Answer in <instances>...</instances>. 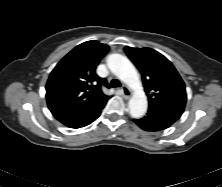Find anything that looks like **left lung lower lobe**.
Masks as SVG:
<instances>
[{"instance_id":"1","label":"left lung lower lobe","mask_w":222,"mask_h":187,"mask_svg":"<svg viewBox=\"0 0 222 187\" xmlns=\"http://www.w3.org/2000/svg\"><path fill=\"white\" fill-rule=\"evenodd\" d=\"M183 111L184 108L172 106L149 107L145 117L133 119V121L146 131H160L178 120Z\"/></svg>"}]
</instances>
